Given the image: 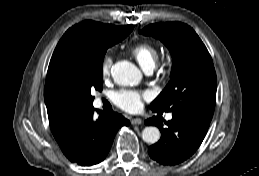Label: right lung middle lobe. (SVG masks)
Returning a JSON list of instances; mask_svg holds the SVG:
<instances>
[{"instance_id":"right-lung-middle-lobe-1","label":"right lung middle lobe","mask_w":259,"mask_h":176,"mask_svg":"<svg viewBox=\"0 0 259 176\" xmlns=\"http://www.w3.org/2000/svg\"><path fill=\"white\" fill-rule=\"evenodd\" d=\"M128 34L94 37L83 31H76L63 43L59 56L60 64L74 83L85 107L92 106V91L102 89L103 59L107 49Z\"/></svg>"}]
</instances>
